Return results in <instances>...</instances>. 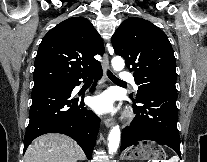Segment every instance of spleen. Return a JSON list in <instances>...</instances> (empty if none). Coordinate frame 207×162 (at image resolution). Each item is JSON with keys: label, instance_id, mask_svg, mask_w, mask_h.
<instances>
[{"label": "spleen", "instance_id": "3e777b00", "mask_svg": "<svg viewBox=\"0 0 207 162\" xmlns=\"http://www.w3.org/2000/svg\"><path fill=\"white\" fill-rule=\"evenodd\" d=\"M178 160H179V157L173 156L169 160H165L164 162H178Z\"/></svg>", "mask_w": 207, "mask_h": 162}]
</instances>
